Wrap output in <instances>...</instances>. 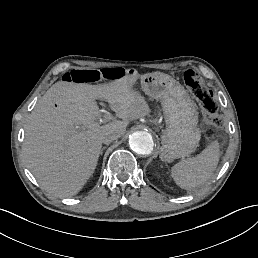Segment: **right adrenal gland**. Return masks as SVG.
Masks as SVG:
<instances>
[{"label":"right adrenal gland","instance_id":"right-adrenal-gland-1","mask_svg":"<svg viewBox=\"0 0 258 258\" xmlns=\"http://www.w3.org/2000/svg\"><path fill=\"white\" fill-rule=\"evenodd\" d=\"M105 148H106V146H104V147L100 150L99 155H102V154H103V149H105Z\"/></svg>","mask_w":258,"mask_h":258}]
</instances>
